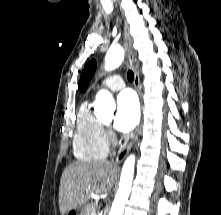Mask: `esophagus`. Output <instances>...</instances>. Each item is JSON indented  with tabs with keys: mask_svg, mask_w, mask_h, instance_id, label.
I'll use <instances>...</instances> for the list:
<instances>
[{
	"mask_svg": "<svg viewBox=\"0 0 221 215\" xmlns=\"http://www.w3.org/2000/svg\"><path fill=\"white\" fill-rule=\"evenodd\" d=\"M124 38H125V48H126V52H127L128 66L132 69V71L134 73V86H135V89L138 93L140 103H141V106H142V95H141L140 79H139L138 71H137L136 66H135L133 40H132V37L130 35L129 27H128L126 22H124ZM141 126H142V120L138 124L132 139L117 154V157H116V160H115L116 164H120L124 160V158L127 156L129 151L131 150L132 146L134 145V143L136 142V140L138 138Z\"/></svg>",
	"mask_w": 221,
	"mask_h": 215,
	"instance_id": "34e87169",
	"label": "esophagus"
}]
</instances>
